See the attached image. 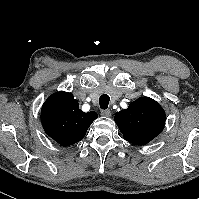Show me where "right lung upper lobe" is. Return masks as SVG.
<instances>
[{
  "label": "right lung upper lobe",
  "instance_id": "right-lung-upper-lobe-1",
  "mask_svg": "<svg viewBox=\"0 0 199 199\" xmlns=\"http://www.w3.org/2000/svg\"><path fill=\"white\" fill-rule=\"evenodd\" d=\"M97 117L94 111L85 113L80 110L73 94L65 91L51 95L41 109L44 131L61 146L79 142Z\"/></svg>",
  "mask_w": 199,
  "mask_h": 199
}]
</instances>
